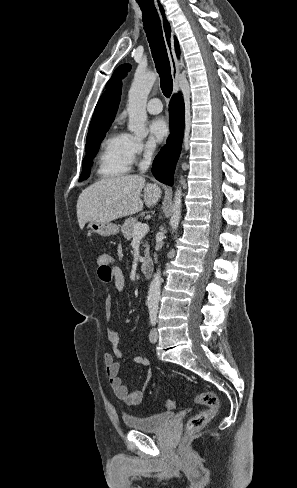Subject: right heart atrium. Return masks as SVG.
Instances as JSON below:
<instances>
[{"label":"right heart atrium","instance_id":"obj_1","mask_svg":"<svg viewBox=\"0 0 297 488\" xmlns=\"http://www.w3.org/2000/svg\"><path fill=\"white\" fill-rule=\"evenodd\" d=\"M126 150L131 162L140 158H148L154 152V145L151 142H146L138 139L132 135L125 134Z\"/></svg>","mask_w":297,"mask_h":488}]
</instances>
